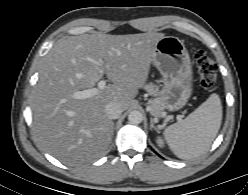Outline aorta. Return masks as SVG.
<instances>
[{
    "mask_svg": "<svg viewBox=\"0 0 248 195\" xmlns=\"http://www.w3.org/2000/svg\"><path fill=\"white\" fill-rule=\"evenodd\" d=\"M128 120L132 124H139L142 122V113L137 110H133L128 115Z\"/></svg>",
    "mask_w": 248,
    "mask_h": 195,
    "instance_id": "aorta-1",
    "label": "aorta"
}]
</instances>
